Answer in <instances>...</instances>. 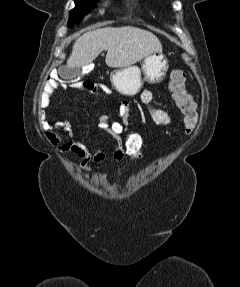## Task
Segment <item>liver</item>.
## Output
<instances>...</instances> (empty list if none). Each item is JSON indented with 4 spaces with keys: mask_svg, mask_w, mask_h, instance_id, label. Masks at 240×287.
<instances>
[{
    "mask_svg": "<svg viewBox=\"0 0 240 287\" xmlns=\"http://www.w3.org/2000/svg\"><path fill=\"white\" fill-rule=\"evenodd\" d=\"M104 50L109 67L126 68L149 54L161 52L162 45L152 32L137 27L95 29L75 41L66 68L87 66Z\"/></svg>",
    "mask_w": 240,
    "mask_h": 287,
    "instance_id": "1",
    "label": "liver"
}]
</instances>
